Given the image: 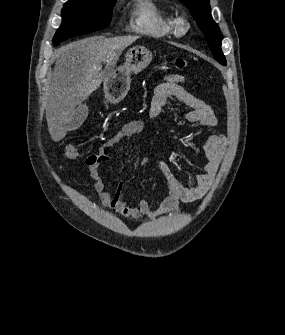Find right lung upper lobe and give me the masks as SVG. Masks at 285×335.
<instances>
[{"mask_svg": "<svg viewBox=\"0 0 285 335\" xmlns=\"http://www.w3.org/2000/svg\"><path fill=\"white\" fill-rule=\"evenodd\" d=\"M104 1H107V2H116V0H104Z\"/></svg>", "mask_w": 285, "mask_h": 335, "instance_id": "right-lung-upper-lobe-1", "label": "right lung upper lobe"}]
</instances>
